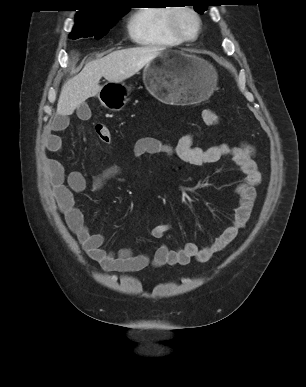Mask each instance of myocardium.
<instances>
[{"instance_id": "myocardium-1", "label": "myocardium", "mask_w": 306, "mask_h": 387, "mask_svg": "<svg viewBox=\"0 0 306 387\" xmlns=\"http://www.w3.org/2000/svg\"><path fill=\"white\" fill-rule=\"evenodd\" d=\"M182 12L190 13L196 20V31L193 36L187 35L179 24V15ZM169 27L171 32L183 42H193L198 39L202 31V19L199 12L191 6H178L173 8L169 17Z\"/></svg>"}]
</instances>
